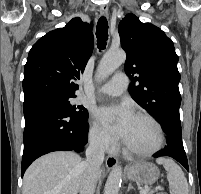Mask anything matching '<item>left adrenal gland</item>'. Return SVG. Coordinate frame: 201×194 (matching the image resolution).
I'll use <instances>...</instances> for the list:
<instances>
[{"label":"left adrenal gland","instance_id":"a2214340","mask_svg":"<svg viewBox=\"0 0 201 194\" xmlns=\"http://www.w3.org/2000/svg\"><path fill=\"white\" fill-rule=\"evenodd\" d=\"M131 189H133V186L131 185V183H129V186H128V189H127V192H129Z\"/></svg>","mask_w":201,"mask_h":194}]
</instances>
